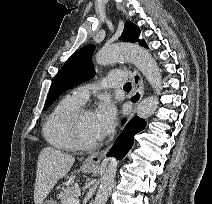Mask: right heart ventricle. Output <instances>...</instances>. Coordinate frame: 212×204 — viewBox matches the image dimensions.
Masks as SVG:
<instances>
[{"label":"right heart ventricle","instance_id":"e07e8e85","mask_svg":"<svg viewBox=\"0 0 212 204\" xmlns=\"http://www.w3.org/2000/svg\"><path fill=\"white\" fill-rule=\"evenodd\" d=\"M82 105L73 95H67L54 106L42 129L43 137L48 145L61 151L75 150L68 136L66 123L69 116Z\"/></svg>","mask_w":212,"mask_h":204}]
</instances>
